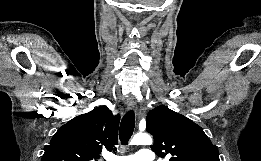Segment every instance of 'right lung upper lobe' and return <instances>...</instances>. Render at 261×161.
<instances>
[{
    "instance_id": "obj_1",
    "label": "right lung upper lobe",
    "mask_w": 261,
    "mask_h": 161,
    "mask_svg": "<svg viewBox=\"0 0 261 161\" xmlns=\"http://www.w3.org/2000/svg\"><path fill=\"white\" fill-rule=\"evenodd\" d=\"M119 121L106 106L73 118L45 146L41 161H96L103 148L111 151L118 143Z\"/></svg>"
}]
</instances>
